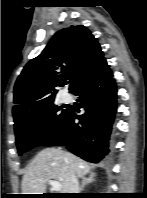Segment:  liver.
I'll return each instance as SVG.
<instances>
[{
    "instance_id": "obj_1",
    "label": "liver",
    "mask_w": 147,
    "mask_h": 198,
    "mask_svg": "<svg viewBox=\"0 0 147 198\" xmlns=\"http://www.w3.org/2000/svg\"><path fill=\"white\" fill-rule=\"evenodd\" d=\"M89 171L90 165L76 155L61 148H45L29 164L22 178V194H44L49 180L59 181L62 193H68L70 173L84 177Z\"/></svg>"
}]
</instances>
